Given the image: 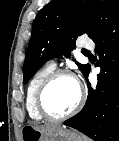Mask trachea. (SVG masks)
<instances>
[{
  "instance_id": "trachea-1",
  "label": "trachea",
  "mask_w": 119,
  "mask_h": 141,
  "mask_svg": "<svg viewBox=\"0 0 119 141\" xmlns=\"http://www.w3.org/2000/svg\"><path fill=\"white\" fill-rule=\"evenodd\" d=\"M84 52H88L87 50H83Z\"/></svg>"
}]
</instances>
